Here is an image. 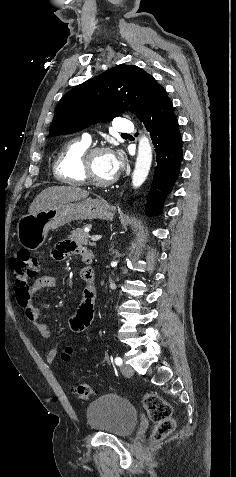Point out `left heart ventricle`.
I'll use <instances>...</instances> for the list:
<instances>
[{
    "label": "left heart ventricle",
    "instance_id": "left-heart-ventricle-1",
    "mask_svg": "<svg viewBox=\"0 0 236 477\" xmlns=\"http://www.w3.org/2000/svg\"><path fill=\"white\" fill-rule=\"evenodd\" d=\"M91 174L98 180H111L113 178L110 170V153H99L95 155L89 164Z\"/></svg>",
    "mask_w": 236,
    "mask_h": 477
}]
</instances>
